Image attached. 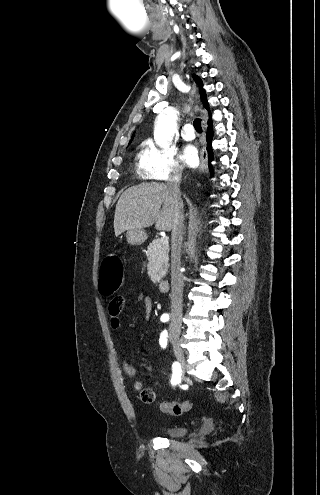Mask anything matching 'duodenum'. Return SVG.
I'll return each instance as SVG.
<instances>
[{
    "label": "duodenum",
    "instance_id": "obj_1",
    "mask_svg": "<svg viewBox=\"0 0 320 495\" xmlns=\"http://www.w3.org/2000/svg\"><path fill=\"white\" fill-rule=\"evenodd\" d=\"M169 280L168 279H162L159 281L158 286L160 291L166 292L169 289Z\"/></svg>",
    "mask_w": 320,
    "mask_h": 495
}]
</instances>
